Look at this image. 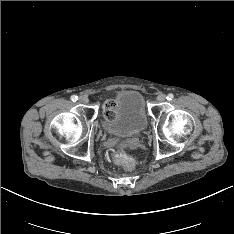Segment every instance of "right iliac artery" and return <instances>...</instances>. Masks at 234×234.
Returning <instances> with one entry per match:
<instances>
[{
	"label": "right iliac artery",
	"mask_w": 234,
	"mask_h": 234,
	"mask_svg": "<svg viewBox=\"0 0 234 234\" xmlns=\"http://www.w3.org/2000/svg\"><path fill=\"white\" fill-rule=\"evenodd\" d=\"M71 100H72L73 102H76V101L78 100V97H77L76 95H72V96H71Z\"/></svg>",
	"instance_id": "obj_1"
}]
</instances>
